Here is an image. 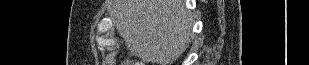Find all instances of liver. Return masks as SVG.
Masks as SVG:
<instances>
[{"mask_svg": "<svg viewBox=\"0 0 309 65\" xmlns=\"http://www.w3.org/2000/svg\"><path fill=\"white\" fill-rule=\"evenodd\" d=\"M112 17L127 49L158 65L178 59L191 42L183 0H114Z\"/></svg>", "mask_w": 309, "mask_h": 65, "instance_id": "obj_1", "label": "liver"}]
</instances>
